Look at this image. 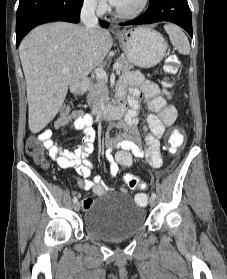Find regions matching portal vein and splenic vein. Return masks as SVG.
<instances>
[{
	"instance_id": "18ae733b",
	"label": "portal vein and splenic vein",
	"mask_w": 227,
	"mask_h": 279,
	"mask_svg": "<svg viewBox=\"0 0 227 279\" xmlns=\"http://www.w3.org/2000/svg\"><path fill=\"white\" fill-rule=\"evenodd\" d=\"M113 69L116 70V71H120L121 65H120L119 63H115V64L113 65ZM63 71H64V72H67V71H68V68H64ZM95 74H96V77H97L98 79H105V80L108 79L107 73H106L105 70L102 69V68H97V69L95 70Z\"/></svg>"
}]
</instances>
